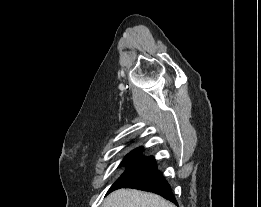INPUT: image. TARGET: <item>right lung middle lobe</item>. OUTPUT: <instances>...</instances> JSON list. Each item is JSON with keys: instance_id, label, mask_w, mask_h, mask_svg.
Listing matches in <instances>:
<instances>
[{"instance_id": "obj_1", "label": "right lung middle lobe", "mask_w": 261, "mask_h": 207, "mask_svg": "<svg viewBox=\"0 0 261 207\" xmlns=\"http://www.w3.org/2000/svg\"><path fill=\"white\" fill-rule=\"evenodd\" d=\"M121 165H126L127 169L111 186L109 192L122 187L132 179L156 168V165L153 161H123L120 166Z\"/></svg>"}]
</instances>
